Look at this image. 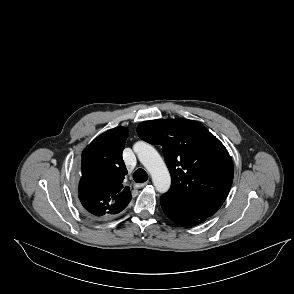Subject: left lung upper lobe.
Listing matches in <instances>:
<instances>
[{"mask_svg": "<svg viewBox=\"0 0 294 294\" xmlns=\"http://www.w3.org/2000/svg\"><path fill=\"white\" fill-rule=\"evenodd\" d=\"M139 137L162 145L172 185L169 202L209 217L225 201L234 176L227 149L202 124L187 119L152 120L137 127Z\"/></svg>", "mask_w": 294, "mask_h": 294, "instance_id": "5c2ea615", "label": "left lung upper lobe"}]
</instances>
